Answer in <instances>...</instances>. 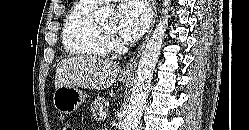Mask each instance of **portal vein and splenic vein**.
Masks as SVG:
<instances>
[{"label":"portal vein and splenic vein","mask_w":249,"mask_h":130,"mask_svg":"<svg viewBox=\"0 0 249 130\" xmlns=\"http://www.w3.org/2000/svg\"><path fill=\"white\" fill-rule=\"evenodd\" d=\"M106 117H107V114H106L105 112H100L99 118H100L101 120L106 119Z\"/></svg>","instance_id":"obj_1"}]
</instances>
